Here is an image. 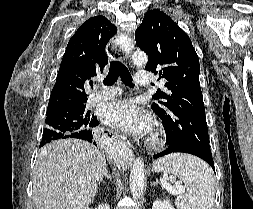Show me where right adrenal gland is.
<instances>
[{"label":"right adrenal gland","instance_id":"2a0ac1e0","mask_svg":"<svg viewBox=\"0 0 253 209\" xmlns=\"http://www.w3.org/2000/svg\"><path fill=\"white\" fill-rule=\"evenodd\" d=\"M103 176H104L105 178L109 179L110 181H112L111 176L109 175L107 169L104 171ZM101 180H102V178H101Z\"/></svg>","mask_w":253,"mask_h":209}]
</instances>
